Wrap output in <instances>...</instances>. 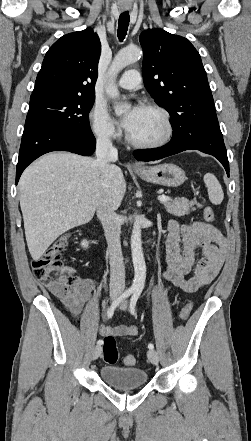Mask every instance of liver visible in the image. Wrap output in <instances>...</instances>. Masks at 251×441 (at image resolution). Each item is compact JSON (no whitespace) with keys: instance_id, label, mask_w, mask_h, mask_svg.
<instances>
[{"instance_id":"1","label":"liver","mask_w":251,"mask_h":441,"mask_svg":"<svg viewBox=\"0 0 251 441\" xmlns=\"http://www.w3.org/2000/svg\"><path fill=\"white\" fill-rule=\"evenodd\" d=\"M19 191L27 246L38 260L60 235L88 223L103 195L117 208L126 183L116 165L102 177L97 160L52 152L25 169Z\"/></svg>"}]
</instances>
